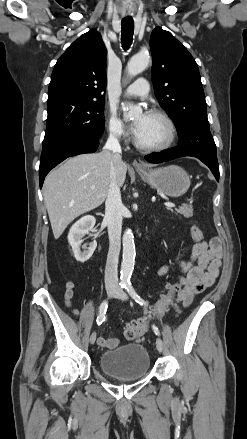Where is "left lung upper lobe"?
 <instances>
[{
	"label": "left lung upper lobe",
	"instance_id": "1",
	"mask_svg": "<svg viewBox=\"0 0 247 439\" xmlns=\"http://www.w3.org/2000/svg\"><path fill=\"white\" fill-rule=\"evenodd\" d=\"M152 81L160 106L172 118L180 137L177 146L219 170L209 129L198 66L188 50L168 31L157 27L150 38Z\"/></svg>",
	"mask_w": 247,
	"mask_h": 439
}]
</instances>
